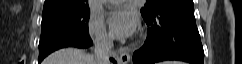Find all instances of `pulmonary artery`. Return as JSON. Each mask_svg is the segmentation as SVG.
<instances>
[{
  "mask_svg": "<svg viewBox=\"0 0 242 64\" xmlns=\"http://www.w3.org/2000/svg\"><path fill=\"white\" fill-rule=\"evenodd\" d=\"M124 1L125 0H110V3H112V4H119V3H122Z\"/></svg>",
  "mask_w": 242,
  "mask_h": 64,
  "instance_id": "1",
  "label": "pulmonary artery"
}]
</instances>
